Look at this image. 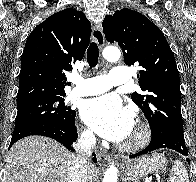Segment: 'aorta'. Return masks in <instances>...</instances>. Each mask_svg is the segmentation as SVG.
<instances>
[{"label": "aorta", "mask_w": 196, "mask_h": 182, "mask_svg": "<svg viewBox=\"0 0 196 182\" xmlns=\"http://www.w3.org/2000/svg\"><path fill=\"white\" fill-rule=\"evenodd\" d=\"M121 56L120 50L116 47H107L103 50V57L107 61H117ZM118 179V169L111 165L106 170L103 181L102 182H117Z\"/></svg>", "instance_id": "obj_1"}]
</instances>
